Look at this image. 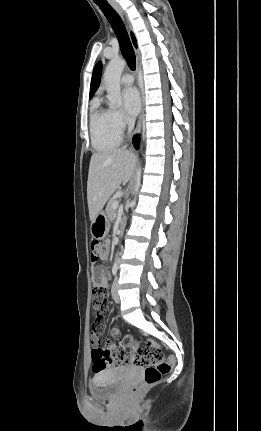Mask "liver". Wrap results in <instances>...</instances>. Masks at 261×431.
<instances>
[{"label": "liver", "mask_w": 261, "mask_h": 431, "mask_svg": "<svg viewBox=\"0 0 261 431\" xmlns=\"http://www.w3.org/2000/svg\"><path fill=\"white\" fill-rule=\"evenodd\" d=\"M136 160V156L125 149L92 155L87 181V200L91 222L120 184L125 185L129 181Z\"/></svg>", "instance_id": "liver-1"}]
</instances>
